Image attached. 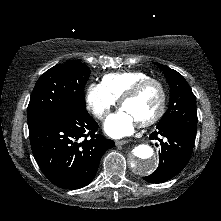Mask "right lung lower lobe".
Segmentation results:
<instances>
[{"label": "right lung lower lobe", "mask_w": 221, "mask_h": 221, "mask_svg": "<svg viewBox=\"0 0 221 221\" xmlns=\"http://www.w3.org/2000/svg\"><path fill=\"white\" fill-rule=\"evenodd\" d=\"M98 124L85 109L29 130L33 155L44 175L63 189H78L95 177L114 141L97 134Z\"/></svg>", "instance_id": "right-lung-lower-lobe-1"}]
</instances>
